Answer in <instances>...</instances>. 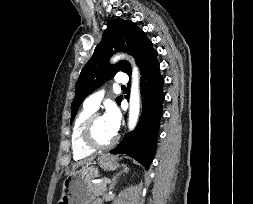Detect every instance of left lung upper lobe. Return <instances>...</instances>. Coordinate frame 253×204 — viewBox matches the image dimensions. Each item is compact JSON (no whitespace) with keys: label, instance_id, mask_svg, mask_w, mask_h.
Segmentation results:
<instances>
[{"label":"left lung upper lobe","instance_id":"5c2ea615","mask_svg":"<svg viewBox=\"0 0 253 204\" xmlns=\"http://www.w3.org/2000/svg\"><path fill=\"white\" fill-rule=\"evenodd\" d=\"M152 42L145 33L132 21L121 18L112 19L107 24L101 42L96 46L91 59L83 67L76 84V95L72 103L71 123L82 101L105 80L113 77L118 71L131 74V67L127 61H120L110 65L108 59L116 52H127L134 56L141 67ZM122 96L116 98L120 104Z\"/></svg>","mask_w":253,"mask_h":204}]
</instances>
